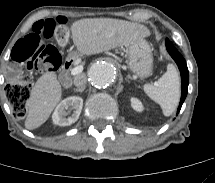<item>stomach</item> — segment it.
<instances>
[{
	"label": "stomach",
	"mask_w": 215,
	"mask_h": 183,
	"mask_svg": "<svg viewBox=\"0 0 215 183\" xmlns=\"http://www.w3.org/2000/svg\"><path fill=\"white\" fill-rule=\"evenodd\" d=\"M128 54V67L140 78L151 75L153 69V56L147 41L139 39L126 46ZM79 56L78 52L70 54V58Z\"/></svg>",
	"instance_id": "stomach-1"
}]
</instances>
